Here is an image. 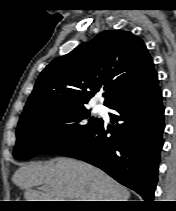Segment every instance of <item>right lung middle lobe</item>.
Listing matches in <instances>:
<instances>
[{
	"instance_id": "obj_1",
	"label": "right lung middle lobe",
	"mask_w": 176,
	"mask_h": 211,
	"mask_svg": "<svg viewBox=\"0 0 176 211\" xmlns=\"http://www.w3.org/2000/svg\"><path fill=\"white\" fill-rule=\"evenodd\" d=\"M102 122L86 106L51 109L21 118L13 156L29 159L39 154L58 153L79 143Z\"/></svg>"
}]
</instances>
